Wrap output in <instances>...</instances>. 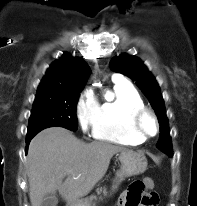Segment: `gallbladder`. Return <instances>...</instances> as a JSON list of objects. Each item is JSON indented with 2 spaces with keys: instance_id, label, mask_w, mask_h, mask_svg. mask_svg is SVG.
I'll return each mask as SVG.
<instances>
[{
  "instance_id": "obj_1",
  "label": "gallbladder",
  "mask_w": 197,
  "mask_h": 206,
  "mask_svg": "<svg viewBox=\"0 0 197 206\" xmlns=\"http://www.w3.org/2000/svg\"><path fill=\"white\" fill-rule=\"evenodd\" d=\"M58 199L55 195L49 194L44 197L41 206H56Z\"/></svg>"
}]
</instances>
